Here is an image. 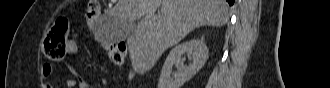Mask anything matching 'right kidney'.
I'll return each instance as SVG.
<instances>
[{"mask_svg":"<svg viewBox=\"0 0 330 88\" xmlns=\"http://www.w3.org/2000/svg\"><path fill=\"white\" fill-rule=\"evenodd\" d=\"M185 53L192 57V62L188 66L184 65L182 59ZM207 57L208 49L202 39H192L175 46L164 62L158 88H180L204 66ZM174 65L177 67L175 73L172 72Z\"/></svg>","mask_w":330,"mask_h":88,"instance_id":"ca27d5eb","label":"right kidney"}]
</instances>
